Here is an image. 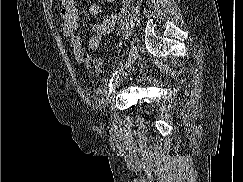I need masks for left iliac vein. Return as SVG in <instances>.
<instances>
[{"instance_id": "left-iliac-vein-1", "label": "left iliac vein", "mask_w": 243, "mask_h": 182, "mask_svg": "<svg viewBox=\"0 0 243 182\" xmlns=\"http://www.w3.org/2000/svg\"><path fill=\"white\" fill-rule=\"evenodd\" d=\"M138 52H139V46L137 44H133L131 46V49L129 51V54H128V58H127V61L125 63V66L122 68V70L120 71L118 77H117V80L115 82V84L111 87V89L109 90V92L106 94V98H105V104L108 106L110 101H111V98L115 92V88H116V85L123 79L125 78L128 73L130 72L133 64L135 63V60L137 59L138 57Z\"/></svg>"}]
</instances>
